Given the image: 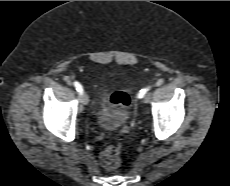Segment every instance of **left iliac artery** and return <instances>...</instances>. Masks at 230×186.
<instances>
[{"label":"left iliac artery","mask_w":230,"mask_h":186,"mask_svg":"<svg viewBox=\"0 0 230 186\" xmlns=\"http://www.w3.org/2000/svg\"><path fill=\"white\" fill-rule=\"evenodd\" d=\"M150 88H151V87H147V88H145V89L140 90V92H139V94H138V98H142V97L147 93V91L150 90Z\"/></svg>","instance_id":"1"}]
</instances>
